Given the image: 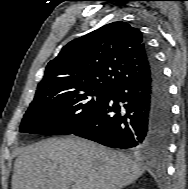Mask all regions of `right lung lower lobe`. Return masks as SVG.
Wrapping results in <instances>:
<instances>
[{"instance_id":"right-lung-lower-lobe-1","label":"right lung lower lobe","mask_w":188,"mask_h":189,"mask_svg":"<svg viewBox=\"0 0 188 189\" xmlns=\"http://www.w3.org/2000/svg\"><path fill=\"white\" fill-rule=\"evenodd\" d=\"M150 71L113 88L90 119L72 134L112 148L167 149L172 124L166 79L148 50Z\"/></svg>"}]
</instances>
